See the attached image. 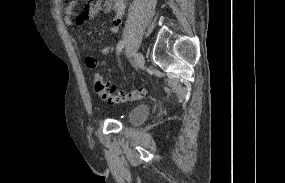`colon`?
I'll list each match as a JSON object with an SVG mask.
<instances>
[{
    "label": "colon",
    "mask_w": 285,
    "mask_h": 183,
    "mask_svg": "<svg viewBox=\"0 0 285 183\" xmlns=\"http://www.w3.org/2000/svg\"><path fill=\"white\" fill-rule=\"evenodd\" d=\"M92 82L96 94L109 104L136 101L147 96L145 89H136L128 92L116 91L100 74H95Z\"/></svg>",
    "instance_id": "1"
}]
</instances>
